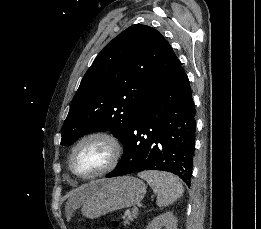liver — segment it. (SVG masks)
Listing matches in <instances>:
<instances>
[{
  "instance_id": "6515ba94",
  "label": "liver",
  "mask_w": 261,
  "mask_h": 229,
  "mask_svg": "<svg viewBox=\"0 0 261 229\" xmlns=\"http://www.w3.org/2000/svg\"><path fill=\"white\" fill-rule=\"evenodd\" d=\"M87 197H89V191L84 185V187H80V189L73 191V195H71L68 205H72L73 209H75L76 203H78V201H85Z\"/></svg>"
}]
</instances>
